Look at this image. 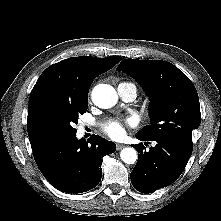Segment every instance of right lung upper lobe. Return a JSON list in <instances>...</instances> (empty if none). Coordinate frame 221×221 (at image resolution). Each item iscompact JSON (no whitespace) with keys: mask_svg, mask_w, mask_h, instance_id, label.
I'll list each match as a JSON object with an SVG mask.
<instances>
[{"mask_svg":"<svg viewBox=\"0 0 221 221\" xmlns=\"http://www.w3.org/2000/svg\"><path fill=\"white\" fill-rule=\"evenodd\" d=\"M122 58L71 57L48 67L33 87L28 105L27 129L32 149L47 142L36 124V107L46 96L63 99H86L89 88L98 75L111 69Z\"/></svg>","mask_w":221,"mask_h":221,"instance_id":"1","label":"right lung upper lobe"}]
</instances>
